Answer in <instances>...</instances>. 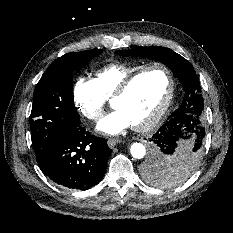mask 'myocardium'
<instances>
[{
  "mask_svg": "<svg viewBox=\"0 0 233 233\" xmlns=\"http://www.w3.org/2000/svg\"><path fill=\"white\" fill-rule=\"evenodd\" d=\"M153 69H160L165 72L168 78V90H167V94H166V97L163 103L161 104L159 109L150 119H148L146 122L142 124L132 125V128L138 132H145V131H148L154 128L161 121V119L164 117V115L168 111L170 104L172 102L173 96H174V92H175V81H174V77L171 71L165 65L160 64V63L146 65L142 67L141 69H139L138 71H136L135 73H133L132 75H130L129 77H127L121 83V85L118 87V89L116 90V92L113 94V96L110 99V103L113 107L114 102L123 98L140 76H142L144 73L150 70H153Z\"/></svg>",
  "mask_w": 233,
  "mask_h": 233,
  "instance_id": "myocardium-1",
  "label": "myocardium"
}]
</instances>
